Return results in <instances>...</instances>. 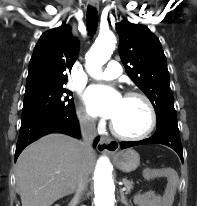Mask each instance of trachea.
Listing matches in <instances>:
<instances>
[{
  "label": "trachea",
  "mask_w": 197,
  "mask_h": 206,
  "mask_svg": "<svg viewBox=\"0 0 197 206\" xmlns=\"http://www.w3.org/2000/svg\"><path fill=\"white\" fill-rule=\"evenodd\" d=\"M86 24L89 35H94L98 27V12L92 6L87 8Z\"/></svg>",
  "instance_id": "1"
}]
</instances>
